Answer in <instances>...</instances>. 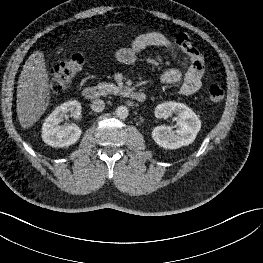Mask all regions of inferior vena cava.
<instances>
[{
    "label": "inferior vena cava",
    "instance_id": "obj_1",
    "mask_svg": "<svg viewBox=\"0 0 263 263\" xmlns=\"http://www.w3.org/2000/svg\"><path fill=\"white\" fill-rule=\"evenodd\" d=\"M104 108H105V102L101 99H95L91 103V109L94 112H101L104 110Z\"/></svg>",
    "mask_w": 263,
    "mask_h": 263
}]
</instances>
